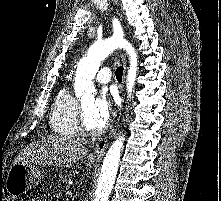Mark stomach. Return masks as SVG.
Here are the masks:
<instances>
[{"label": "stomach", "mask_w": 221, "mask_h": 201, "mask_svg": "<svg viewBox=\"0 0 221 201\" xmlns=\"http://www.w3.org/2000/svg\"><path fill=\"white\" fill-rule=\"evenodd\" d=\"M87 166L93 168L96 164L89 162ZM41 177V171L37 166L22 162L13 164L6 178V190L12 196H20L36 186Z\"/></svg>", "instance_id": "obj_1"}]
</instances>
